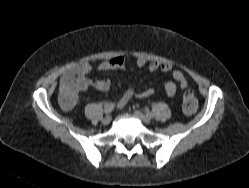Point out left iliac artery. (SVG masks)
<instances>
[{
    "label": "left iliac artery",
    "mask_w": 249,
    "mask_h": 188,
    "mask_svg": "<svg viewBox=\"0 0 249 188\" xmlns=\"http://www.w3.org/2000/svg\"><path fill=\"white\" fill-rule=\"evenodd\" d=\"M146 114H147L149 117H152V113H151L149 110H146Z\"/></svg>",
    "instance_id": "obj_1"
}]
</instances>
